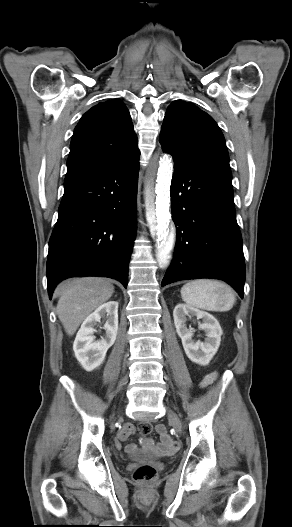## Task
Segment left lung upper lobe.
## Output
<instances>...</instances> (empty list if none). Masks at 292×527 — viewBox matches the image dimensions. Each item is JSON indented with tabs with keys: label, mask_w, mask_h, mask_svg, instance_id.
<instances>
[{
	"label": "left lung upper lobe",
	"mask_w": 292,
	"mask_h": 527,
	"mask_svg": "<svg viewBox=\"0 0 292 527\" xmlns=\"http://www.w3.org/2000/svg\"><path fill=\"white\" fill-rule=\"evenodd\" d=\"M160 142L163 150L179 163L231 174L220 128L207 113L191 103L176 100L168 107Z\"/></svg>",
	"instance_id": "obj_1"
}]
</instances>
